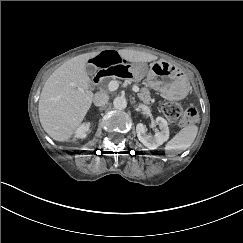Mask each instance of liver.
Listing matches in <instances>:
<instances>
[{
	"instance_id": "1",
	"label": "liver",
	"mask_w": 243,
	"mask_h": 243,
	"mask_svg": "<svg viewBox=\"0 0 243 243\" xmlns=\"http://www.w3.org/2000/svg\"><path fill=\"white\" fill-rule=\"evenodd\" d=\"M129 62H151L157 56L131 49L118 50ZM98 52L78 55L58 67L47 79L39 99L38 113L45 132L54 140L69 141L89 110L94 94L88 90L86 63Z\"/></svg>"
}]
</instances>
